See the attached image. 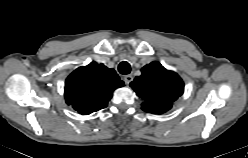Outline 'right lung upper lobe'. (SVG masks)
<instances>
[{"instance_id":"right-lung-upper-lobe-1","label":"right lung upper lobe","mask_w":248,"mask_h":158,"mask_svg":"<svg viewBox=\"0 0 248 158\" xmlns=\"http://www.w3.org/2000/svg\"><path fill=\"white\" fill-rule=\"evenodd\" d=\"M124 86L113 69L91 62L72 72L65 83V100L78 113L88 115L107 106L116 88Z\"/></svg>"}]
</instances>
